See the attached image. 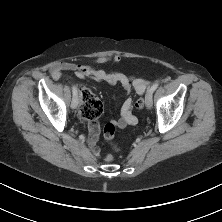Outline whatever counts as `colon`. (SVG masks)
Wrapping results in <instances>:
<instances>
[{
	"instance_id": "5ec220e1",
	"label": "colon",
	"mask_w": 222,
	"mask_h": 222,
	"mask_svg": "<svg viewBox=\"0 0 222 222\" xmlns=\"http://www.w3.org/2000/svg\"><path fill=\"white\" fill-rule=\"evenodd\" d=\"M82 106L80 110V116L83 121H88L92 118L98 117L102 113V103L97 96H95L89 89H81ZM144 101L142 98L136 102V107L142 109ZM115 126L112 123L106 124L104 128L105 138L112 140L114 137ZM108 161L112 159L111 155L106 157Z\"/></svg>"
}]
</instances>
